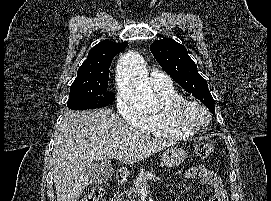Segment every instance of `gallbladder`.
<instances>
[{
	"label": "gallbladder",
	"instance_id": "bac80fb5",
	"mask_svg": "<svg viewBox=\"0 0 271 201\" xmlns=\"http://www.w3.org/2000/svg\"><path fill=\"white\" fill-rule=\"evenodd\" d=\"M111 164L107 161L93 163L87 168V175L92 184H99L108 181L112 176Z\"/></svg>",
	"mask_w": 271,
	"mask_h": 201
}]
</instances>
